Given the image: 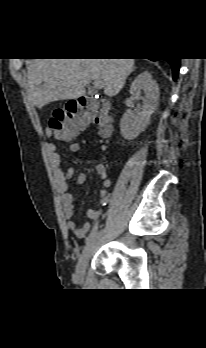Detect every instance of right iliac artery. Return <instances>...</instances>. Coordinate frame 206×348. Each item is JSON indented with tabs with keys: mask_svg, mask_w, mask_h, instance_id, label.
I'll use <instances>...</instances> for the list:
<instances>
[{
	"mask_svg": "<svg viewBox=\"0 0 206 348\" xmlns=\"http://www.w3.org/2000/svg\"><path fill=\"white\" fill-rule=\"evenodd\" d=\"M102 206L108 205L110 203V200L108 199V196H103V199L101 200ZM98 230V224H96L93 229L91 230L89 236L86 238V242L89 241V239L95 235V233Z\"/></svg>",
	"mask_w": 206,
	"mask_h": 348,
	"instance_id": "1",
	"label": "right iliac artery"
}]
</instances>
